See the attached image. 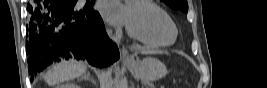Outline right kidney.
<instances>
[{
    "label": "right kidney",
    "mask_w": 267,
    "mask_h": 88,
    "mask_svg": "<svg viewBox=\"0 0 267 88\" xmlns=\"http://www.w3.org/2000/svg\"><path fill=\"white\" fill-rule=\"evenodd\" d=\"M57 88H80V86L72 82H67L57 86Z\"/></svg>",
    "instance_id": "obj_1"
}]
</instances>
